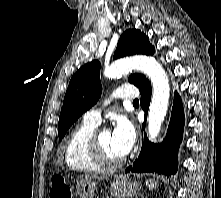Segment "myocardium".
Wrapping results in <instances>:
<instances>
[{
  "instance_id": "1",
  "label": "myocardium",
  "mask_w": 221,
  "mask_h": 198,
  "mask_svg": "<svg viewBox=\"0 0 221 198\" xmlns=\"http://www.w3.org/2000/svg\"><path fill=\"white\" fill-rule=\"evenodd\" d=\"M103 131H107L106 129H95L92 133L89 140V148L92 155L93 160L99 165L102 169H116L121 167L125 163V158H121L118 160L110 159L104 152L101 147L99 136Z\"/></svg>"
}]
</instances>
